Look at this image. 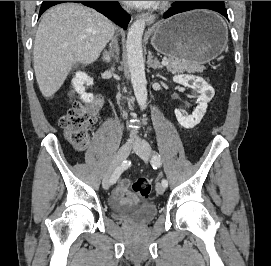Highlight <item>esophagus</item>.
<instances>
[{
	"label": "esophagus",
	"instance_id": "esophagus-1",
	"mask_svg": "<svg viewBox=\"0 0 271 266\" xmlns=\"http://www.w3.org/2000/svg\"><path fill=\"white\" fill-rule=\"evenodd\" d=\"M137 19L145 20L148 25H151L155 20V15L150 13H142L137 15Z\"/></svg>",
	"mask_w": 271,
	"mask_h": 266
}]
</instances>
